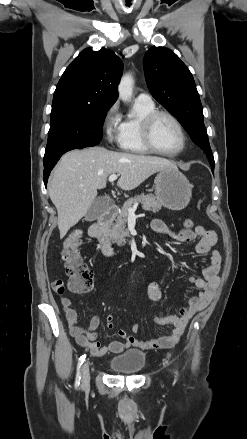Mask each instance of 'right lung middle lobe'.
Masks as SVG:
<instances>
[{"instance_id":"1","label":"right lung middle lobe","mask_w":247,"mask_h":439,"mask_svg":"<svg viewBox=\"0 0 247 439\" xmlns=\"http://www.w3.org/2000/svg\"><path fill=\"white\" fill-rule=\"evenodd\" d=\"M110 107L64 104L52 106L44 165L67 151L99 144Z\"/></svg>"}]
</instances>
